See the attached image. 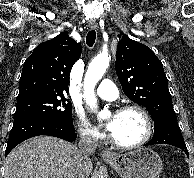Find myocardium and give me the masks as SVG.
Here are the masks:
<instances>
[{"label":"myocardium","instance_id":"myocardium-1","mask_svg":"<svg viewBox=\"0 0 194 178\" xmlns=\"http://www.w3.org/2000/svg\"><path fill=\"white\" fill-rule=\"evenodd\" d=\"M128 111H134V112L139 113L145 122L146 129H145L144 136L138 142L133 143V144L120 143L119 141H117L113 137L112 134L110 135V141L112 142L113 145H115L116 147H118L120 149H126V150L139 148V147L145 145L149 141V139L151 138L152 133H153L152 119H151L149 113L145 109H143L142 107H140L138 105H124V106L119 107L116 110V114H120V113H124V112H128Z\"/></svg>","mask_w":194,"mask_h":178}]
</instances>
